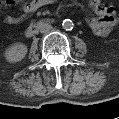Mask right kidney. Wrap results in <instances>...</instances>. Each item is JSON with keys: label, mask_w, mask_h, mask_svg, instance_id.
Masks as SVG:
<instances>
[{"label": "right kidney", "mask_w": 119, "mask_h": 119, "mask_svg": "<svg viewBox=\"0 0 119 119\" xmlns=\"http://www.w3.org/2000/svg\"><path fill=\"white\" fill-rule=\"evenodd\" d=\"M27 51L28 49L25 45L14 44L7 50L6 58L10 62H18L25 57Z\"/></svg>", "instance_id": "right-kidney-1"}]
</instances>
